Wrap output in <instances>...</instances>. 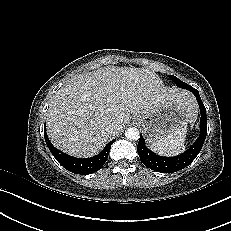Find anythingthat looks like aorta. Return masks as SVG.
<instances>
[{"mask_svg": "<svg viewBox=\"0 0 231 231\" xmlns=\"http://www.w3.org/2000/svg\"><path fill=\"white\" fill-rule=\"evenodd\" d=\"M125 136L130 141H136L140 137V132L135 127H130L125 131Z\"/></svg>", "mask_w": 231, "mask_h": 231, "instance_id": "aorta-1", "label": "aorta"}]
</instances>
